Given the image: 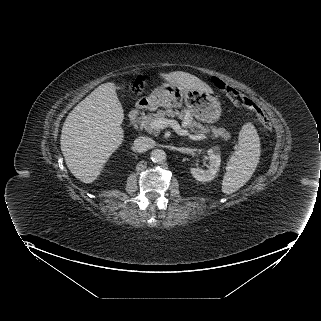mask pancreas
Masks as SVG:
<instances>
[{"mask_svg":"<svg viewBox=\"0 0 321 321\" xmlns=\"http://www.w3.org/2000/svg\"><path fill=\"white\" fill-rule=\"evenodd\" d=\"M165 117H178L181 120H184V125L186 128L190 129L191 132L195 133L196 135L209 133L210 131L213 133L215 137H222L224 139H229L230 134L224 128H217V127H207L203 126L202 124L194 121L193 115L186 109L181 111L178 110H171L168 109L166 111L158 110L157 113H151L145 116L141 120V125L144 127L149 133L154 134L155 136L159 135V129H153L150 124L151 122Z\"/></svg>","mask_w":321,"mask_h":321,"instance_id":"cf45deb5","label":"pancreas"}]
</instances>
